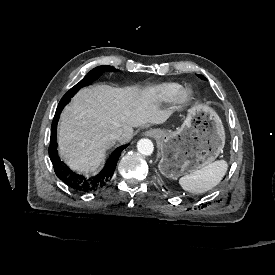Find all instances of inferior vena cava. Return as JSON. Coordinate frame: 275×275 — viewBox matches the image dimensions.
<instances>
[{
  "label": "inferior vena cava",
  "mask_w": 275,
  "mask_h": 275,
  "mask_svg": "<svg viewBox=\"0 0 275 275\" xmlns=\"http://www.w3.org/2000/svg\"><path fill=\"white\" fill-rule=\"evenodd\" d=\"M123 131L121 129L114 131L110 134L109 138L111 140H118L120 136L122 135Z\"/></svg>",
  "instance_id": "inferior-vena-cava-1"
}]
</instances>
